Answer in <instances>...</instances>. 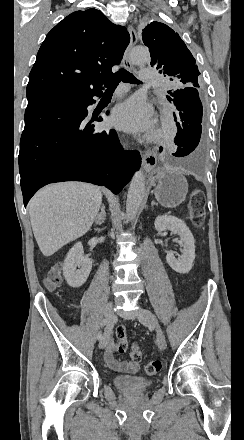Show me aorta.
Segmentation results:
<instances>
[{"label": "aorta", "mask_w": 244, "mask_h": 440, "mask_svg": "<svg viewBox=\"0 0 244 440\" xmlns=\"http://www.w3.org/2000/svg\"><path fill=\"white\" fill-rule=\"evenodd\" d=\"M149 59V51L144 47H135L130 52V61L133 64H141ZM145 193V176L141 170L137 171L130 183L126 201L128 220H133L140 208Z\"/></svg>", "instance_id": "aorta-1"}]
</instances>
